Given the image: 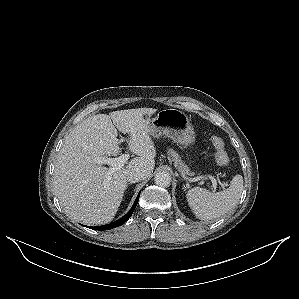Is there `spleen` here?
<instances>
[{
    "label": "spleen",
    "mask_w": 299,
    "mask_h": 299,
    "mask_svg": "<svg viewBox=\"0 0 299 299\" xmlns=\"http://www.w3.org/2000/svg\"><path fill=\"white\" fill-rule=\"evenodd\" d=\"M242 190L243 177L238 174L223 191L212 193L207 189L194 187L187 192L186 198L197 218L212 220L232 210L239 202Z\"/></svg>",
    "instance_id": "spleen-1"
}]
</instances>
